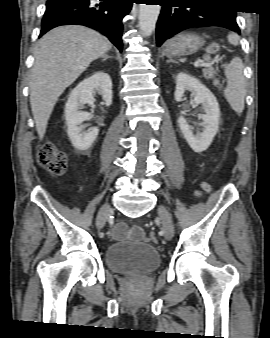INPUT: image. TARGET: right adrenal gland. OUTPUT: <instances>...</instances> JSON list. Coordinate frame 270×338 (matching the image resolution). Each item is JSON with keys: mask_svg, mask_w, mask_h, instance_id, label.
Wrapping results in <instances>:
<instances>
[{"mask_svg": "<svg viewBox=\"0 0 270 338\" xmlns=\"http://www.w3.org/2000/svg\"><path fill=\"white\" fill-rule=\"evenodd\" d=\"M110 58H112V57L109 56V55H104L102 61H106L107 59H110Z\"/></svg>", "mask_w": 270, "mask_h": 338, "instance_id": "right-adrenal-gland-1", "label": "right adrenal gland"}]
</instances>
